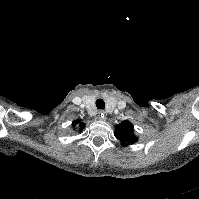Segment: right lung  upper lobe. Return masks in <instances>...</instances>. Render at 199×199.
Listing matches in <instances>:
<instances>
[{
  "label": "right lung upper lobe",
  "instance_id": "right-lung-upper-lobe-1",
  "mask_svg": "<svg viewBox=\"0 0 199 199\" xmlns=\"http://www.w3.org/2000/svg\"><path fill=\"white\" fill-rule=\"evenodd\" d=\"M79 123H80V120H76V121H74V122L72 123V125L75 126L76 124H79ZM79 127H80V129L82 130V129L85 127V124L80 123V124H79Z\"/></svg>",
  "mask_w": 199,
  "mask_h": 199
}]
</instances>
